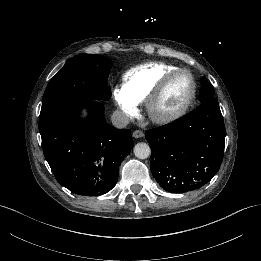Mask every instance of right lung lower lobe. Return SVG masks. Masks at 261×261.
I'll return each mask as SVG.
<instances>
[{
	"label": "right lung lower lobe",
	"instance_id": "right-lung-lower-lobe-1",
	"mask_svg": "<svg viewBox=\"0 0 261 261\" xmlns=\"http://www.w3.org/2000/svg\"><path fill=\"white\" fill-rule=\"evenodd\" d=\"M89 115L81 119V108ZM39 131L44 156L56 180L72 193L98 196L118 180L122 160L133 148L128 129L106 123L104 107L97 101L64 104L41 112Z\"/></svg>",
	"mask_w": 261,
	"mask_h": 261
}]
</instances>
